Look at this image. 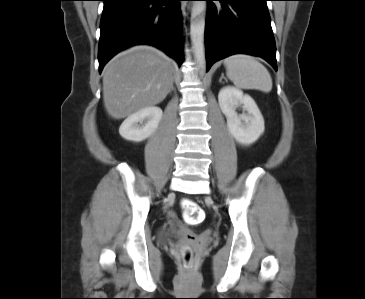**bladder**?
Returning <instances> with one entry per match:
<instances>
[{
  "mask_svg": "<svg viewBox=\"0 0 365 299\" xmlns=\"http://www.w3.org/2000/svg\"><path fill=\"white\" fill-rule=\"evenodd\" d=\"M182 233L183 229L180 224L174 223L166 227H162L159 230L158 238L161 243L167 244Z\"/></svg>",
  "mask_w": 365,
  "mask_h": 299,
  "instance_id": "1",
  "label": "bladder"
}]
</instances>
